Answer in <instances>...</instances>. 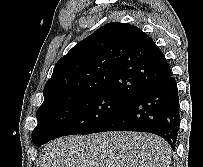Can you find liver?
Segmentation results:
<instances>
[{
  "label": "liver",
  "mask_w": 203,
  "mask_h": 167,
  "mask_svg": "<svg viewBox=\"0 0 203 167\" xmlns=\"http://www.w3.org/2000/svg\"><path fill=\"white\" fill-rule=\"evenodd\" d=\"M171 148L140 132L75 135L51 141L37 167H169Z\"/></svg>",
  "instance_id": "obj_1"
}]
</instances>
